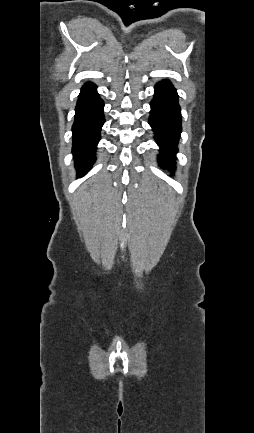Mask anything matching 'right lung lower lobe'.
Here are the masks:
<instances>
[{"label": "right lung lower lobe", "instance_id": "1", "mask_svg": "<svg viewBox=\"0 0 254 433\" xmlns=\"http://www.w3.org/2000/svg\"><path fill=\"white\" fill-rule=\"evenodd\" d=\"M104 103L96 86L87 83L81 89L75 109L73 132V155L79 176L90 169L95 160L96 146L100 140V130L104 123Z\"/></svg>", "mask_w": 254, "mask_h": 433}]
</instances>
